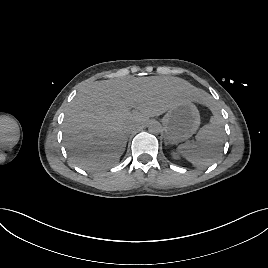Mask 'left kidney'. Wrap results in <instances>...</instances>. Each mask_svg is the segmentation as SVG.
Masks as SVG:
<instances>
[{"mask_svg": "<svg viewBox=\"0 0 268 268\" xmlns=\"http://www.w3.org/2000/svg\"><path fill=\"white\" fill-rule=\"evenodd\" d=\"M173 156H174V158H175V159H177V158H178V157H177V156H176L174 153H173Z\"/></svg>", "mask_w": 268, "mask_h": 268, "instance_id": "obj_1", "label": "left kidney"}]
</instances>
